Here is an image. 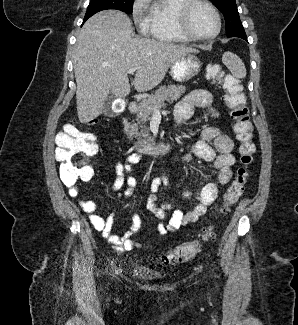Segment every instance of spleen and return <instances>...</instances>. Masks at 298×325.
I'll list each match as a JSON object with an SVG mask.
<instances>
[{
  "instance_id": "obj_1",
  "label": "spleen",
  "mask_w": 298,
  "mask_h": 325,
  "mask_svg": "<svg viewBox=\"0 0 298 325\" xmlns=\"http://www.w3.org/2000/svg\"><path fill=\"white\" fill-rule=\"evenodd\" d=\"M222 62H224L225 66L229 68L233 76H236V78H245L247 74L246 66L242 58H240V56H237L235 52H230V50L223 52Z\"/></svg>"
}]
</instances>
